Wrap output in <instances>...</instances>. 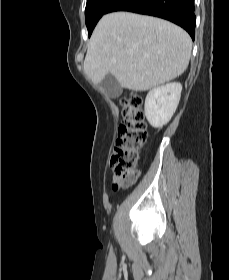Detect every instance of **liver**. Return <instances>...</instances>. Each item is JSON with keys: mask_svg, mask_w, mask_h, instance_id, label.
Here are the masks:
<instances>
[{"mask_svg": "<svg viewBox=\"0 0 229 280\" xmlns=\"http://www.w3.org/2000/svg\"><path fill=\"white\" fill-rule=\"evenodd\" d=\"M192 41L168 21L129 12L104 15L88 42L84 72L99 84L112 74L121 87L147 91L180 76Z\"/></svg>", "mask_w": 229, "mask_h": 280, "instance_id": "obj_1", "label": "liver"}]
</instances>
